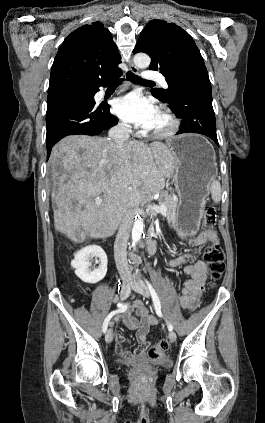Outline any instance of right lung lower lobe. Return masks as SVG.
Segmentation results:
<instances>
[{
  "label": "right lung lower lobe",
  "instance_id": "98d812e1",
  "mask_svg": "<svg viewBox=\"0 0 265 423\" xmlns=\"http://www.w3.org/2000/svg\"><path fill=\"white\" fill-rule=\"evenodd\" d=\"M71 87L48 93L46 112L47 160L54 144L68 135H98L117 124L108 104L97 105L94 95L100 86Z\"/></svg>",
  "mask_w": 265,
  "mask_h": 423
}]
</instances>
